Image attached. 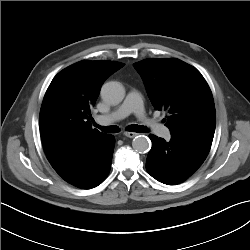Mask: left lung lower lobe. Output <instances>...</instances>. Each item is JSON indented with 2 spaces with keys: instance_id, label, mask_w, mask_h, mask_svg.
Wrapping results in <instances>:
<instances>
[{
  "instance_id": "left-lung-lower-lobe-1",
  "label": "left lung lower lobe",
  "mask_w": 250,
  "mask_h": 250,
  "mask_svg": "<svg viewBox=\"0 0 250 250\" xmlns=\"http://www.w3.org/2000/svg\"><path fill=\"white\" fill-rule=\"evenodd\" d=\"M153 145L146 159L147 172L159 182L175 185L190 177L206 159L213 138L171 135L169 142L149 135Z\"/></svg>"
}]
</instances>
